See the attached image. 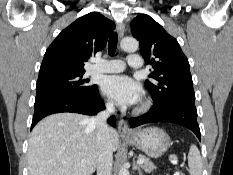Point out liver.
Returning a JSON list of instances; mask_svg holds the SVG:
<instances>
[{
	"mask_svg": "<svg viewBox=\"0 0 233 175\" xmlns=\"http://www.w3.org/2000/svg\"><path fill=\"white\" fill-rule=\"evenodd\" d=\"M90 119L76 113H58L41 120L29 141V175H92L99 147L97 130ZM109 136L116 151L117 131L110 128Z\"/></svg>",
	"mask_w": 233,
	"mask_h": 175,
	"instance_id": "6515ba94",
	"label": "liver"
}]
</instances>
